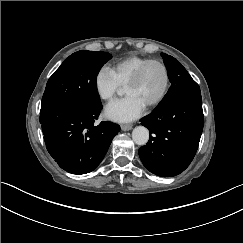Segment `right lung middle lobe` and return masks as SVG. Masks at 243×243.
Instances as JSON below:
<instances>
[{"mask_svg":"<svg viewBox=\"0 0 243 243\" xmlns=\"http://www.w3.org/2000/svg\"><path fill=\"white\" fill-rule=\"evenodd\" d=\"M111 57L107 52L87 50L70 55L48 80L40 113L67 102L100 105L96 77Z\"/></svg>","mask_w":243,"mask_h":243,"instance_id":"right-lung-middle-lobe-1","label":"right lung middle lobe"}]
</instances>
